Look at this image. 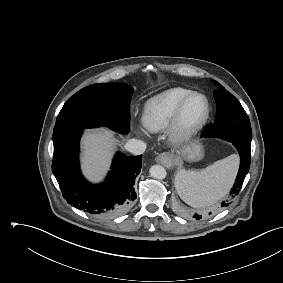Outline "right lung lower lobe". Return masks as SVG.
Returning a JSON list of instances; mask_svg holds the SVG:
<instances>
[{"mask_svg": "<svg viewBox=\"0 0 283 283\" xmlns=\"http://www.w3.org/2000/svg\"><path fill=\"white\" fill-rule=\"evenodd\" d=\"M82 131L54 145L52 171L63 197L75 208L93 215L109 217L126 211L136 199L134 179L140 173L142 155L118 152L111 171L100 185L88 183L79 168V140Z\"/></svg>", "mask_w": 283, "mask_h": 283, "instance_id": "1", "label": "right lung lower lobe"}]
</instances>
